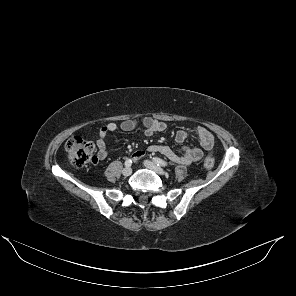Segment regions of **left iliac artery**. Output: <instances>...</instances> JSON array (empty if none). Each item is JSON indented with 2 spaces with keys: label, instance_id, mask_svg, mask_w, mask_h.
I'll return each instance as SVG.
<instances>
[{
  "label": "left iliac artery",
  "instance_id": "1",
  "mask_svg": "<svg viewBox=\"0 0 296 296\" xmlns=\"http://www.w3.org/2000/svg\"><path fill=\"white\" fill-rule=\"evenodd\" d=\"M153 161L158 165V166H162V167H166L168 164L167 162H165L164 160L158 158V157H155L153 158Z\"/></svg>",
  "mask_w": 296,
  "mask_h": 296
}]
</instances>
